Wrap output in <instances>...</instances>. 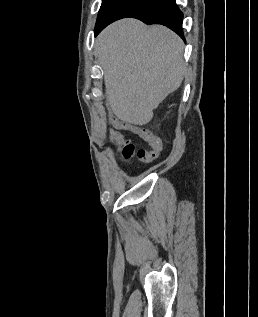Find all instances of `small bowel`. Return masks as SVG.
Listing matches in <instances>:
<instances>
[{"instance_id":"c3829d8e","label":"small bowel","mask_w":258,"mask_h":317,"mask_svg":"<svg viewBox=\"0 0 258 317\" xmlns=\"http://www.w3.org/2000/svg\"><path fill=\"white\" fill-rule=\"evenodd\" d=\"M115 124L116 126L120 128L130 130L138 134L151 147L152 151H154L156 154L162 151L163 142L161 138L153 134L151 131L141 128L139 126L133 125V124L119 122V121H117Z\"/></svg>"}]
</instances>
